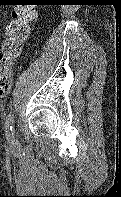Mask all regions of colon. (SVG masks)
Returning a JSON list of instances; mask_svg holds the SVG:
<instances>
[{
	"mask_svg": "<svg viewBox=\"0 0 121 197\" xmlns=\"http://www.w3.org/2000/svg\"><path fill=\"white\" fill-rule=\"evenodd\" d=\"M36 15L35 6L23 0L15 1L12 20L6 27L5 39L0 49V97L11 89L13 61L19 55Z\"/></svg>",
	"mask_w": 121,
	"mask_h": 197,
	"instance_id": "colon-1",
	"label": "colon"
}]
</instances>
